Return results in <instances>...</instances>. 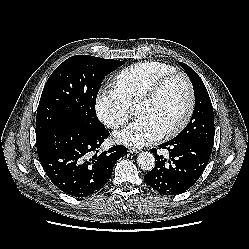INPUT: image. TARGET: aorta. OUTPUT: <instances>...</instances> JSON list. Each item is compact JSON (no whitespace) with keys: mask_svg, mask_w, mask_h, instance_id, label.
<instances>
[{"mask_svg":"<svg viewBox=\"0 0 249 249\" xmlns=\"http://www.w3.org/2000/svg\"><path fill=\"white\" fill-rule=\"evenodd\" d=\"M137 164L144 171H150L155 166V157L150 152H141L137 156Z\"/></svg>","mask_w":249,"mask_h":249,"instance_id":"aorta-1","label":"aorta"}]
</instances>
